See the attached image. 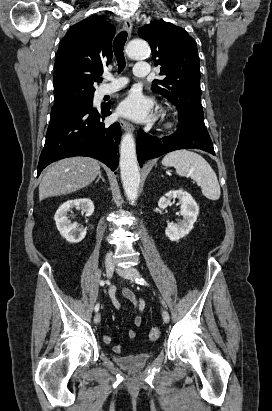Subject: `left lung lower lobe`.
<instances>
[{
	"mask_svg": "<svg viewBox=\"0 0 272 411\" xmlns=\"http://www.w3.org/2000/svg\"><path fill=\"white\" fill-rule=\"evenodd\" d=\"M189 148L201 149L215 155L204 120L179 119L177 131L163 138L151 136L142 130L137 134V158L140 166L145 160L174 150Z\"/></svg>",
	"mask_w": 272,
	"mask_h": 411,
	"instance_id": "0a47b994",
	"label": "left lung lower lobe"
}]
</instances>
